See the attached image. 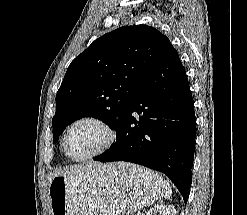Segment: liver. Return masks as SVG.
Returning a JSON list of instances; mask_svg holds the SVG:
<instances>
[{
  "label": "liver",
  "instance_id": "liver-1",
  "mask_svg": "<svg viewBox=\"0 0 247 215\" xmlns=\"http://www.w3.org/2000/svg\"><path fill=\"white\" fill-rule=\"evenodd\" d=\"M102 166H103V164L96 163V162H90V163H87V164L70 166V167H67V168H65L63 170H57L56 172H54L52 174V176H50L49 182H51V180L56 176L74 177V176H77V175L85 174V172L88 169L92 168V167L93 168H100Z\"/></svg>",
  "mask_w": 247,
  "mask_h": 215
}]
</instances>
